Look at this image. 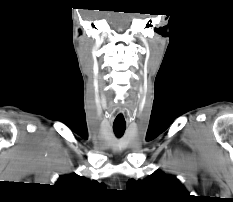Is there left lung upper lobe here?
<instances>
[{"mask_svg": "<svg viewBox=\"0 0 233 202\" xmlns=\"http://www.w3.org/2000/svg\"><path fill=\"white\" fill-rule=\"evenodd\" d=\"M127 190L148 202H183L189 198L188 192L176 177L159 170L144 180L130 179Z\"/></svg>", "mask_w": 233, "mask_h": 202, "instance_id": "obj_1", "label": "left lung upper lobe"}]
</instances>
